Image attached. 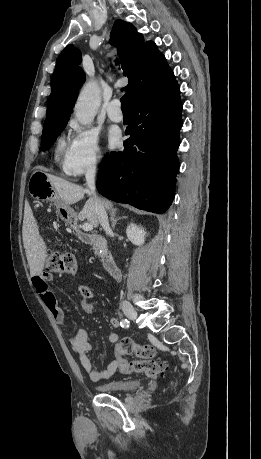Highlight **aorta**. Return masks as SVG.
I'll return each instance as SVG.
<instances>
[{
	"label": "aorta",
	"instance_id": "obj_1",
	"mask_svg": "<svg viewBox=\"0 0 261 459\" xmlns=\"http://www.w3.org/2000/svg\"><path fill=\"white\" fill-rule=\"evenodd\" d=\"M100 102L101 97L99 87L96 82L90 81L83 87L75 104L74 114L76 119L82 125H88L91 123L97 114Z\"/></svg>",
	"mask_w": 261,
	"mask_h": 459
}]
</instances>
